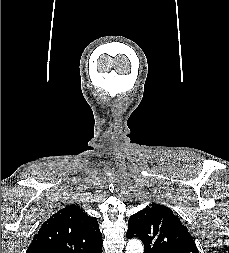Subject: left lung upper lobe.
Listing matches in <instances>:
<instances>
[{
	"label": "left lung upper lobe",
	"instance_id": "obj_1",
	"mask_svg": "<svg viewBox=\"0 0 229 253\" xmlns=\"http://www.w3.org/2000/svg\"><path fill=\"white\" fill-rule=\"evenodd\" d=\"M126 236L139 238L145 253H198L187 227L161 204H150L133 214Z\"/></svg>",
	"mask_w": 229,
	"mask_h": 253
}]
</instances>
